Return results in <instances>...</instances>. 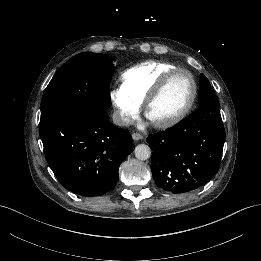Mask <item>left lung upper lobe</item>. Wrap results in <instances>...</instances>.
Returning a JSON list of instances; mask_svg holds the SVG:
<instances>
[{
  "mask_svg": "<svg viewBox=\"0 0 261 261\" xmlns=\"http://www.w3.org/2000/svg\"><path fill=\"white\" fill-rule=\"evenodd\" d=\"M215 92L205 75H200L199 105L214 100Z\"/></svg>",
  "mask_w": 261,
  "mask_h": 261,
  "instance_id": "1",
  "label": "left lung upper lobe"
}]
</instances>
